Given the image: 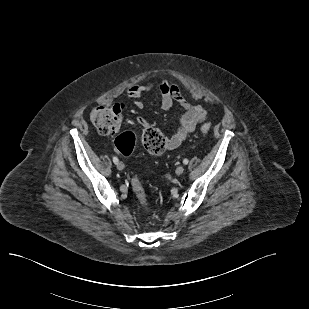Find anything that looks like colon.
Instances as JSON below:
<instances>
[{
    "label": "colon",
    "mask_w": 309,
    "mask_h": 309,
    "mask_svg": "<svg viewBox=\"0 0 309 309\" xmlns=\"http://www.w3.org/2000/svg\"><path fill=\"white\" fill-rule=\"evenodd\" d=\"M90 120L103 135L117 134L115 147L123 156H130L135 147V135L130 131H120L122 125V108L119 106H98L90 113ZM210 124H203L201 132L207 133ZM166 140L163 134L153 126H147L143 131V145L151 154H160L165 149ZM132 190L142 206L147 205V199L140 179L134 176L131 180Z\"/></svg>",
    "instance_id": "obj_1"
}]
</instances>
